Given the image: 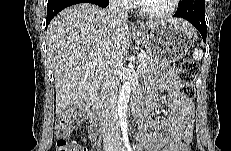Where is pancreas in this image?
Masks as SVG:
<instances>
[{
  "instance_id": "cf45deb5",
  "label": "pancreas",
  "mask_w": 231,
  "mask_h": 151,
  "mask_svg": "<svg viewBox=\"0 0 231 151\" xmlns=\"http://www.w3.org/2000/svg\"><path fill=\"white\" fill-rule=\"evenodd\" d=\"M163 65H164L163 62L157 59H153L148 54H145L144 59L139 61L138 70L143 74H147L153 71H157Z\"/></svg>"
}]
</instances>
